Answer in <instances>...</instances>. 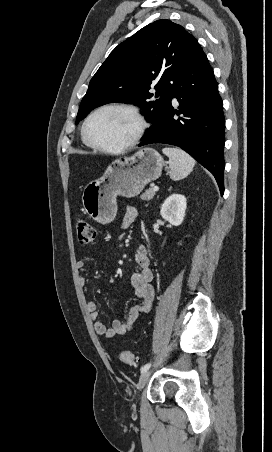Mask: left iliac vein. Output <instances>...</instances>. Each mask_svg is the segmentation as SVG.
Segmentation results:
<instances>
[{"label": "left iliac vein", "instance_id": "1", "mask_svg": "<svg viewBox=\"0 0 272 452\" xmlns=\"http://www.w3.org/2000/svg\"><path fill=\"white\" fill-rule=\"evenodd\" d=\"M150 375H151L150 370H147L140 375L138 385H137L139 391L144 388V386L146 385V383L148 382V380L150 378Z\"/></svg>", "mask_w": 272, "mask_h": 452}]
</instances>
